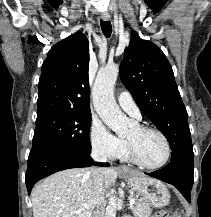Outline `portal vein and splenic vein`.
Returning a JSON list of instances; mask_svg holds the SVG:
<instances>
[{
    "mask_svg": "<svg viewBox=\"0 0 211 217\" xmlns=\"http://www.w3.org/2000/svg\"><path fill=\"white\" fill-rule=\"evenodd\" d=\"M134 203H135V199L134 198H130V206H132ZM87 208L88 207L79 209L78 211H76V213H80V212H82L83 210H85Z\"/></svg>",
    "mask_w": 211,
    "mask_h": 217,
    "instance_id": "18ae733b",
    "label": "portal vein and splenic vein"
}]
</instances>
